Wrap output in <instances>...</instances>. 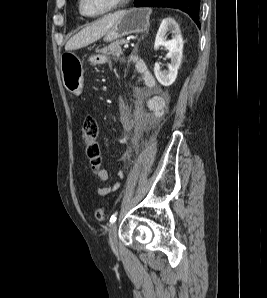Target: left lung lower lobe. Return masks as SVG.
<instances>
[{
	"instance_id": "1",
	"label": "left lung lower lobe",
	"mask_w": 267,
	"mask_h": 298,
	"mask_svg": "<svg viewBox=\"0 0 267 298\" xmlns=\"http://www.w3.org/2000/svg\"><path fill=\"white\" fill-rule=\"evenodd\" d=\"M200 0H135V7H168L180 9L190 15L200 27L199 19Z\"/></svg>"
}]
</instances>
